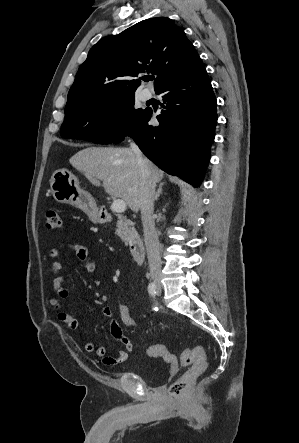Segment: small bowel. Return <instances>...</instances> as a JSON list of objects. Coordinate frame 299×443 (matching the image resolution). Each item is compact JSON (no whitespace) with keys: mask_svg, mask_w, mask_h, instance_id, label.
<instances>
[{"mask_svg":"<svg viewBox=\"0 0 299 443\" xmlns=\"http://www.w3.org/2000/svg\"><path fill=\"white\" fill-rule=\"evenodd\" d=\"M62 247L63 245H59L53 247L49 251V256L51 259H53L51 265V272L54 275L53 288L57 294L56 297L50 298L49 303L57 311V317L61 322L65 323L69 329L77 330L79 328V321L77 317L73 314L64 311L61 306V299L69 297V292L64 287V277L61 275L62 265L59 262ZM69 247L75 252L76 257L79 259L80 262L83 263L85 269L88 272L96 271V264L90 258L89 251L85 246L79 244L78 242L73 241L69 244ZM94 283L98 282L94 280ZM90 309L93 310L94 308ZM100 310L103 313V315H105L109 319L110 331L112 336L120 343H122L125 349L119 350L115 355H107L106 350L103 346H96L91 341H85L83 343V349L87 353L99 357L105 365L108 366L118 365L127 360L129 353L133 351L134 347L131 340L127 336H125L123 329L116 320L111 308L102 307L100 308Z\"/></svg>","mask_w":299,"mask_h":443,"instance_id":"1","label":"small bowel"}]
</instances>
